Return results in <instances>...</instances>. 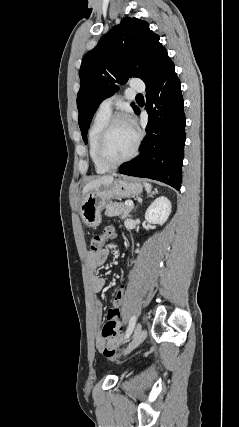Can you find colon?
<instances>
[{"label":"colon","mask_w":239,"mask_h":427,"mask_svg":"<svg viewBox=\"0 0 239 427\" xmlns=\"http://www.w3.org/2000/svg\"><path fill=\"white\" fill-rule=\"evenodd\" d=\"M114 232L113 228L105 229L101 235H95L90 240L89 253L97 254L105 243V241L112 237ZM115 237H119L120 233L115 232ZM125 283L119 282L118 285L113 286L111 290V307L107 314L106 321L102 327L101 336L104 341L103 353L107 357H112L115 354L116 347L118 346L122 333L118 322V308L121 307V301H125L126 294L124 292Z\"/></svg>","instance_id":"colon-1"}]
</instances>
